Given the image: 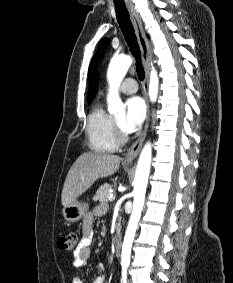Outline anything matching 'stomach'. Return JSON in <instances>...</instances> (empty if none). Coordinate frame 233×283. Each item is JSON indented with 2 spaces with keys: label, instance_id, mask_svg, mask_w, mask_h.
I'll list each match as a JSON object with an SVG mask.
<instances>
[{
  "label": "stomach",
  "instance_id": "stomach-1",
  "mask_svg": "<svg viewBox=\"0 0 233 283\" xmlns=\"http://www.w3.org/2000/svg\"><path fill=\"white\" fill-rule=\"evenodd\" d=\"M87 209V204L74 200L71 204L63 207L62 214L67 222L74 223L84 216Z\"/></svg>",
  "mask_w": 233,
  "mask_h": 283
}]
</instances>
